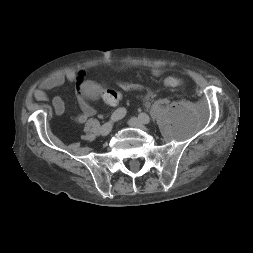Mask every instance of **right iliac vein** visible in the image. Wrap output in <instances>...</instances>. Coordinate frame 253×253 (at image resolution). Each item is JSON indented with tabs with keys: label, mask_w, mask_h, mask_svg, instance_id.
<instances>
[{
	"label": "right iliac vein",
	"mask_w": 253,
	"mask_h": 253,
	"mask_svg": "<svg viewBox=\"0 0 253 253\" xmlns=\"http://www.w3.org/2000/svg\"><path fill=\"white\" fill-rule=\"evenodd\" d=\"M112 122H107L101 127V135L102 136H107L111 131H112Z\"/></svg>",
	"instance_id": "63e3f726"
}]
</instances>
